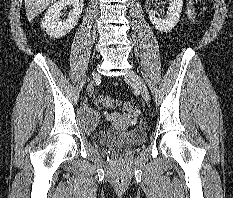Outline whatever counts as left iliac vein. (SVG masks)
Returning <instances> with one entry per match:
<instances>
[{"label": "left iliac vein", "instance_id": "left-iliac-vein-1", "mask_svg": "<svg viewBox=\"0 0 233 198\" xmlns=\"http://www.w3.org/2000/svg\"><path fill=\"white\" fill-rule=\"evenodd\" d=\"M125 80L134 86L141 94L143 99L149 101V91L143 79L134 71L130 70L125 74Z\"/></svg>", "mask_w": 233, "mask_h": 198}]
</instances>
